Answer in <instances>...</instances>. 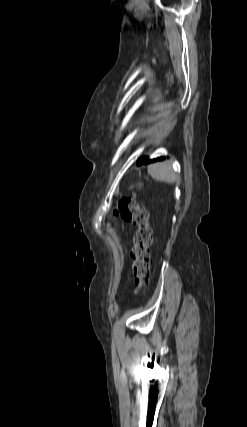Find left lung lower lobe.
<instances>
[{"mask_svg":"<svg viewBox=\"0 0 247 427\" xmlns=\"http://www.w3.org/2000/svg\"><path fill=\"white\" fill-rule=\"evenodd\" d=\"M164 157L156 158V159H149L148 157H141L137 160V165L147 164L150 162H155L157 160H163Z\"/></svg>","mask_w":247,"mask_h":427,"instance_id":"0a47b994","label":"left lung lower lobe"}]
</instances>
